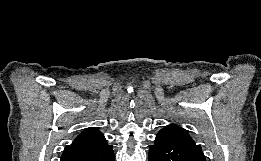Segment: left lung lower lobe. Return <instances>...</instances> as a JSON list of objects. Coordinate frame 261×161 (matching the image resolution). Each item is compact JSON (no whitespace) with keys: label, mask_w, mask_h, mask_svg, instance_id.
<instances>
[{"label":"left lung lower lobe","mask_w":261,"mask_h":161,"mask_svg":"<svg viewBox=\"0 0 261 161\" xmlns=\"http://www.w3.org/2000/svg\"><path fill=\"white\" fill-rule=\"evenodd\" d=\"M148 157L149 161H206L200 145L166 131L157 134Z\"/></svg>","instance_id":"1"}]
</instances>
